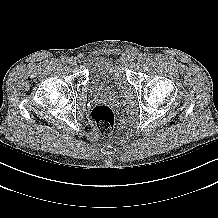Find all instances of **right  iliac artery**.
<instances>
[{"instance_id": "obj_1", "label": "right iliac artery", "mask_w": 218, "mask_h": 218, "mask_svg": "<svg viewBox=\"0 0 218 218\" xmlns=\"http://www.w3.org/2000/svg\"><path fill=\"white\" fill-rule=\"evenodd\" d=\"M62 62H63V63H67V62H68V57H67V56H64V57L62 58Z\"/></svg>"}]
</instances>
